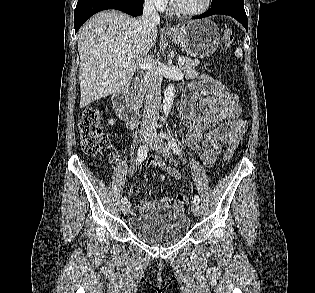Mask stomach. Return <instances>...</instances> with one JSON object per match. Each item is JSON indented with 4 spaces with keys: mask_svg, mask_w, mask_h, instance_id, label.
<instances>
[{
    "mask_svg": "<svg viewBox=\"0 0 315 293\" xmlns=\"http://www.w3.org/2000/svg\"><path fill=\"white\" fill-rule=\"evenodd\" d=\"M167 36L188 55L199 59L211 56L219 47L221 37L217 25L207 19L187 22Z\"/></svg>",
    "mask_w": 315,
    "mask_h": 293,
    "instance_id": "obj_1",
    "label": "stomach"
}]
</instances>
